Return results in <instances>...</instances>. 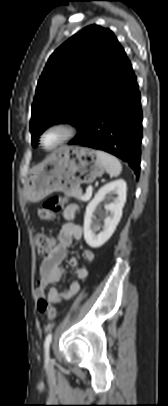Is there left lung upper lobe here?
<instances>
[{"label": "left lung upper lobe", "mask_w": 168, "mask_h": 406, "mask_svg": "<svg viewBox=\"0 0 168 406\" xmlns=\"http://www.w3.org/2000/svg\"><path fill=\"white\" fill-rule=\"evenodd\" d=\"M123 54L112 31L98 25L85 27L54 51L39 78L32 104L33 147L53 124L71 123L78 134L82 131Z\"/></svg>", "instance_id": "5c2ea615"}]
</instances>
